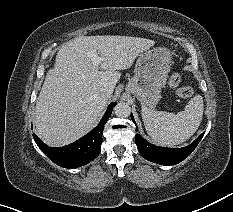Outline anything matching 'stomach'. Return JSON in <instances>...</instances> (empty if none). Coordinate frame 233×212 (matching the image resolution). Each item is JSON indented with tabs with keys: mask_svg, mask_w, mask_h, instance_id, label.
I'll return each instance as SVG.
<instances>
[{
	"mask_svg": "<svg viewBox=\"0 0 233 212\" xmlns=\"http://www.w3.org/2000/svg\"><path fill=\"white\" fill-rule=\"evenodd\" d=\"M171 52L164 47L145 49L138 55L134 76L126 90L144 106L153 107L161 98V89L168 78Z\"/></svg>",
	"mask_w": 233,
	"mask_h": 212,
	"instance_id": "stomach-1",
	"label": "stomach"
}]
</instances>
